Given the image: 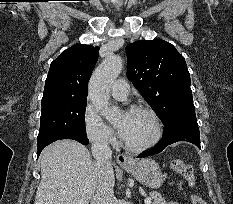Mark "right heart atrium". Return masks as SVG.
Segmentation results:
<instances>
[{
  "mask_svg": "<svg viewBox=\"0 0 233 204\" xmlns=\"http://www.w3.org/2000/svg\"><path fill=\"white\" fill-rule=\"evenodd\" d=\"M83 128L87 139L97 146H109L115 143L113 129L100 117L98 112L88 105L83 114Z\"/></svg>",
  "mask_w": 233,
  "mask_h": 204,
  "instance_id": "1",
  "label": "right heart atrium"
}]
</instances>
